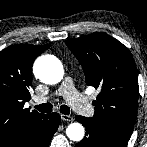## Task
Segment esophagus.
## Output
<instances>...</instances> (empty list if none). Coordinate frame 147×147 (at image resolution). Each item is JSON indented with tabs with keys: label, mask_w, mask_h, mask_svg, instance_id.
<instances>
[{
	"label": "esophagus",
	"mask_w": 147,
	"mask_h": 147,
	"mask_svg": "<svg viewBox=\"0 0 147 147\" xmlns=\"http://www.w3.org/2000/svg\"><path fill=\"white\" fill-rule=\"evenodd\" d=\"M61 119L63 121H67V122H72L73 121V117L70 115H65V114H61Z\"/></svg>",
	"instance_id": "34e87169"
}]
</instances>
